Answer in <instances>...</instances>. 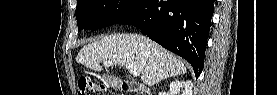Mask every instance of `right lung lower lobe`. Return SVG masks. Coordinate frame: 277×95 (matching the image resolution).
<instances>
[{
    "label": "right lung lower lobe",
    "instance_id": "obj_1",
    "mask_svg": "<svg viewBox=\"0 0 277 95\" xmlns=\"http://www.w3.org/2000/svg\"><path fill=\"white\" fill-rule=\"evenodd\" d=\"M214 0H140L117 23L140 28L164 48L185 58L196 78L204 67Z\"/></svg>",
    "mask_w": 277,
    "mask_h": 95
}]
</instances>
